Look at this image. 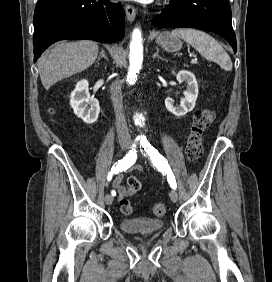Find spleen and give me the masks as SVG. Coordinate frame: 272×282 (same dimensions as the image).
Here are the masks:
<instances>
[{
	"instance_id": "3e777b00",
	"label": "spleen",
	"mask_w": 272,
	"mask_h": 282,
	"mask_svg": "<svg viewBox=\"0 0 272 282\" xmlns=\"http://www.w3.org/2000/svg\"><path fill=\"white\" fill-rule=\"evenodd\" d=\"M173 37H179L193 46L203 57L215 61L225 71L232 70V61L223 47L207 33L190 29L180 28L172 31Z\"/></svg>"
}]
</instances>
